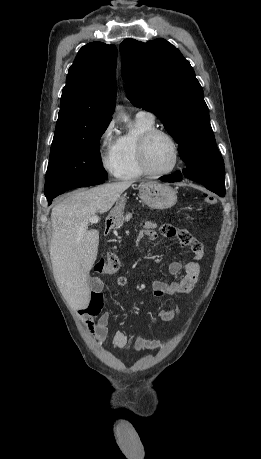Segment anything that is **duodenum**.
<instances>
[{
	"label": "duodenum",
	"mask_w": 261,
	"mask_h": 459,
	"mask_svg": "<svg viewBox=\"0 0 261 459\" xmlns=\"http://www.w3.org/2000/svg\"><path fill=\"white\" fill-rule=\"evenodd\" d=\"M111 228H112V226H111V225H109V226H108V231H110V230H111Z\"/></svg>",
	"instance_id": "1"
}]
</instances>
